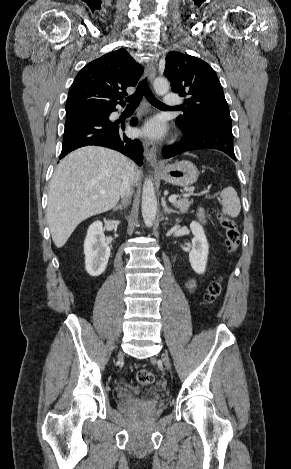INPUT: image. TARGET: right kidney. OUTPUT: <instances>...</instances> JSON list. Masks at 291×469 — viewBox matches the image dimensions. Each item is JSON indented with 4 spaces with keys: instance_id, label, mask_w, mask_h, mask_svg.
<instances>
[{
    "instance_id": "1",
    "label": "right kidney",
    "mask_w": 291,
    "mask_h": 469,
    "mask_svg": "<svg viewBox=\"0 0 291 469\" xmlns=\"http://www.w3.org/2000/svg\"><path fill=\"white\" fill-rule=\"evenodd\" d=\"M85 267L92 277L101 275L106 269L110 248L103 233V224L95 221L87 230L84 241Z\"/></svg>"
}]
</instances>
